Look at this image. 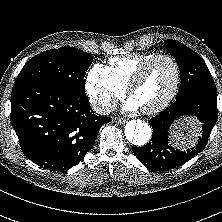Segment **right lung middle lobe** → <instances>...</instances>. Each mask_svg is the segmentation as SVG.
I'll return each mask as SVG.
<instances>
[{"label": "right lung middle lobe", "instance_id": "right-lung-middle-lobe-1", "mask_svg": "<svg viewBox=\"0 0 222 222\" xmlns=\"http://www.w3.org/2000/svg\"><path fill=\"white\" fill-rule=\"evenodd\" d=\"M93 57L73 47L44 51L30 59L14 84L41 82L85 94L87 69Z\"/></svg>", "mask_w": 222, "mask_h": 222}]
</instances>
